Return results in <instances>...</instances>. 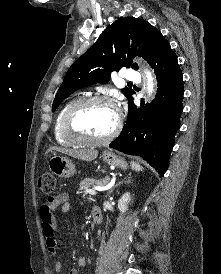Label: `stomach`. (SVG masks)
Listing matches in <instances>:
<instances>
[{
    "label": "stomach",
    "mask_w": 221,
    "mask_h": 274,
    "mask_svg": "<svg viewBox=\"0 0 221 274\" xmlns=\"http://www.w3.org/2000/svg\"><path fill=\"white\" fill-rule=\"evenodd\" d=\"M103 161L110 165L127 169V162L118 157L111 151H104L102 154ZM49 170L60 178H70L76 173L75 165L68 157L54 155L48 162Z\"/></svg>",
    "instance_id": "1"
}]
</instances>
